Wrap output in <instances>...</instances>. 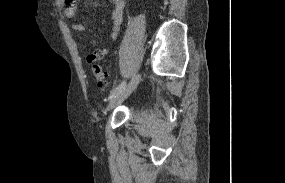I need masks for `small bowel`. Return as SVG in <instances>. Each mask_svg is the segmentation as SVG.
Masks as SVG:
<instances>
[{"label": "small bowel", "instance_id": "obj_1", "mask_svg": "<svg viewBox=\"0 0 285 183\" xmlns=\"http://www.w3.org/2000/svg\"><path fill=\"white\" fill-rule=\"evenodd\" d=\"M113 10L110 15V34L109 40L114 42L117 40L122 24L123 14L125 10V0H112ZM64 15L68 19H73L75 17V7L70 2L67 4ZM71 29L75 33H81L84 30V25L79 22H74L71 24ZM108 48L95 49L87 53L86 60L89 64L96 63L102 60L107 54Z\"/></svg>", "mask_w": 285, "mask_h": 183}]
</instances>
